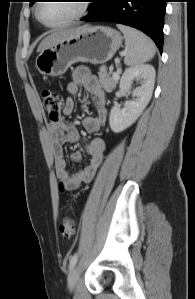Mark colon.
<instances>
[{"label": "colon", "instance_id": "1", "mask_svg": "<svg viewBox=\"0 0 195 299\" xmlns=\"http://www.w3.org/2000/svg\"><path fill=\"white\" fill-rule=\"evenodd\" d=\"M42 105L46 111L48 118L51 122H59L61 113L64 106L63 97L49 89H44L41 93ZM64 189V187L62 186ZM75 222L72 218L66 217L60 224V233L63 237L69 238L74 234Z\"/></svg>", "mask_w": 195, "mask_h": 299}]
</instances>
